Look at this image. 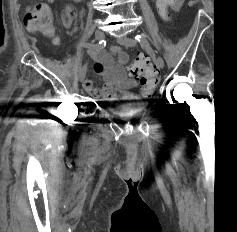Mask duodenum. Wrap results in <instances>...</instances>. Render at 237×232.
I'll return each mask as SVG.
<instances>
[{"mask_svg":"<svg viewBox=\"0 0 237 232\" xmlns=\"http://www.w3.org/2000/svg\"><path fill=\"white\" fill-rule=\"evenodd\" d=\"M75 1L80 2V1H82V0H75Z\"/></svg>","mask_w":237,"mask_h":232,"instance_id":"1","label":"duodenum"}]
</instances>
